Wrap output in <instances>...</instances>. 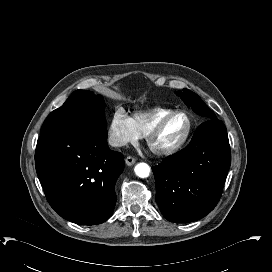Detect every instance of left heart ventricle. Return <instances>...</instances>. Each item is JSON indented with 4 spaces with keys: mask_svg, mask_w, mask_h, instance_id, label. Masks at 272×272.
<instances>
[{
    "mask_svg": "<svg viewBox=\"0 0 272 272\" xmlns=\"http://www.w3.org/2000/svg\"><path fill=\"white\" fill-rule=\"evenodd\" d=\"M187 120L184 116H175L165 125L164 129L153 139L152 146L158 149L176 145L184 137Z\"/></svg>",
    "mask_w": 272,
    "mask_h": 272,
    "instance_id": "obj_1",
    "label": "left heart ventricle"
}]
</instances>
